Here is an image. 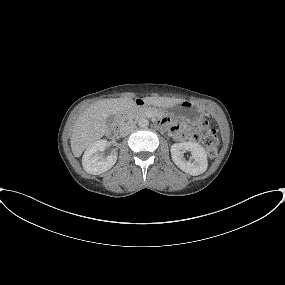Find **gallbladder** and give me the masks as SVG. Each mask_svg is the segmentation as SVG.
I'll return each instance as SVG.
<instances>
[{"label": "gallbladder", "instance_id": "1", "mask_svg": "<svg viewBox=\"0 0 285 285\" xmlns=\"http://www.w3.org/2000/svg\"><path fill=\"white\" fill-rule=\"evenodd\" d=\"M114 121H115V117L113 115H110L106 119V124L107 125H112L114 123Z\"/></svg>", "mask_w": 285, "mask_h": 285}]
</instances>
